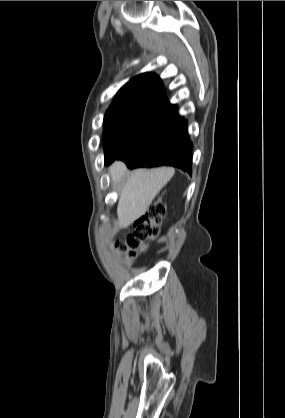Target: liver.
Here are the masks:
<instances>
[{
    "instance_id": "obj_1",
    "label": "liver",
    "mask_w": 285,
    "mask_h": 418,
    "mask_svg": "<svg viewBox=\"0 0 285 418\" xmlns=\"http://www.w3.org/2000/svg\"><path fill=\"white\" fill-rule=\"evenodd\" d=\"M113 184L120 183L126 176L127 167L115 161L109 168ZM175 173L174 168L136 169L127 177L121 190L117 206V226L125 228L143 216L153 199Z\"/></svg>"
}]
</instances>
